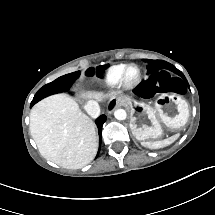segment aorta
<instances>
[{
	"label": "aorta",
	"mask_w": 215,
	"mask_h": 215,
	"mask_svg": "<svg viewBox=\"0 0 215 215\" xmlns=\"http://www.w3.org/2000/svg\"><path fill=\"white\" fill-rule=\"evenodd\" d=\"M114 116L118 120H123L126 118V111L124 109H121V108L116 109L114 111Z\"/></svg>",
	"instance_id": "1"
}]
</instances>
